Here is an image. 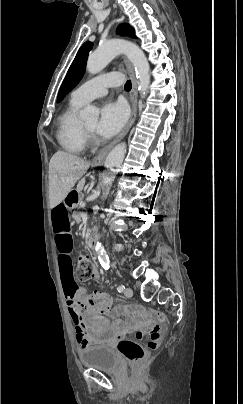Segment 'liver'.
Returning <instances> with one entry per match:
<instances>
[{"label":"liver","instance_id":"liver-1","mask_svg":"<svg viewBox=\"0 0 243 404\" xmlns=\"http://www.w3.org/2000/svg\"><path fill=\"white\" fill-rule=\"evenodd\" d=\"M89 166L90 162H85V160H81L69 152H56L52 156L48 174L50 208H55L63 202ZM84 184L85 178H82L77 186V192L83 190Z\"/></svg>","mask_w":243,"mask_h":404}]
</instances>
